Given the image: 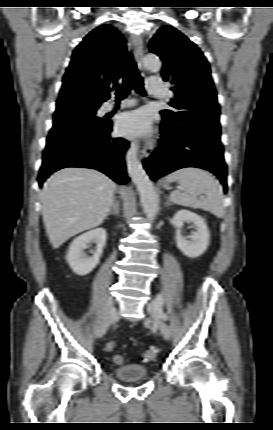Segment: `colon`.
Listing matches in <instances>:
<instances>
[{"label": "colon", "instance_id": "obj_1", "mask_svg": "<svg viewBox=\"0 0 273 430\" xmlns=\"http://www.w3.org/2000/svg\"><path fill=\"white\" fill-rule=\"evenodd\" d=\"M114 347H115V342L113 341L108 342L106 345V349L108 351H111ZM158 352H159V349L157 347H151L140 355V359L146 362L152 361L157 357ZM113 361L117 365H123L125 362V359L122 355L116 354L113 356Z\"/></svg>", "mask_w": 273, "mask_h": 430}]
</instances>
